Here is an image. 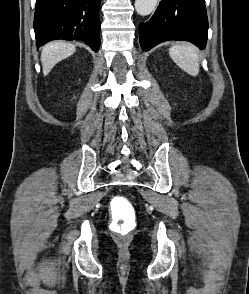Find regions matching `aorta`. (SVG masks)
I'll return each mask as SVG.
<instances>
[{
  "instance_id": "obj_1",
  "label": "aorta",
  "mask_w": 249,
  "mask_h": 294,
  "mask_svg": "<svg viewBox=\"0 0 249 294\" xmlns=\"http://www.w3.org/2000/svg\"><path fill=\"white\" fill-rule=\"evenodd\" d=\"M158 0H135V10L141 16H147L152 13Z\"/></svg>"
}]
</instances>
